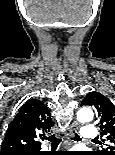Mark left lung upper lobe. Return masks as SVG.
I'll use <instances>...</instances> for the list:
<instances>
[{"label":"left lung upper lobe","mask_w":115,"mask_h":155,"mask_svg":"<svg viewBox=\"0 0 115 155\" xmlns=\"http://www.w3.org/2000/svg\"><path fill=\"white\" fill-rule=\"evenodd\" d=\"M92 106L98 115L101 136L104 137L105 148L91 155H115V105L99 92L87 94L82 104Z\"/></svg>","instance_id":"obj_1"}]
</instances>
